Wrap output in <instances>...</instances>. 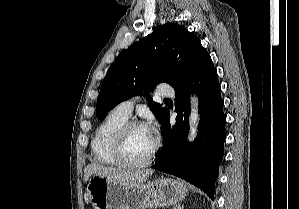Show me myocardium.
<instances>
[{
  "label": "myocardium",
  "instance_id": "f54148a6",
  "mask_svg": "<svg viewBox=\"0 0 299 209\" xmlns=\"http://www.w3.org/2000/svg\"><path fill=\"white\" fill-rule=\"evenodd\" d=\"M136 127L147 128V126L141 121L128 120L118 129V131L115 134L114 141H113V155L116 160V163L119 166L125 168H133V169L144 168L152 163V161L154 160V158L156 157L159 151L160 142L156 137H154L153 148L149 153V155L146 157V159H144L141 162H130L125 158L124 144H125L126 136L130 130Z\"/></svg>",
  "mask_w": 299,
  "mask_h": 209
}]
</instances>
